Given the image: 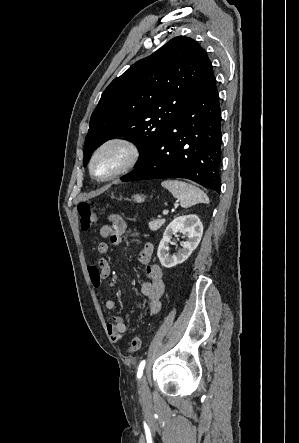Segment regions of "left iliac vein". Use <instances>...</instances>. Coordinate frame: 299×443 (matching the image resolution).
Instances as JSON below:
<instances>
[{
	"label": "left iliac vein",
	"mask_w": 299,
	"mask_h": 443,
	"mask_svg": "<svg viewBox=\"0 0 299 443\" xmlns=\"http://www.w3.org/2000/svg\"><path fill=\"white\" fill-rule=\"evenodd\" d=\"M141 393L143 396L149 395V388H148L146 376H144L141 381Z\"/></svg>",
	"instance_id": "obj_1"
}]
</instances>
